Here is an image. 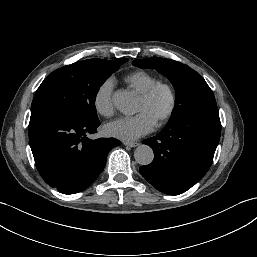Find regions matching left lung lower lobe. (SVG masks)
I'll return each instance as SVG.
<instances>
[{"instance_id":"0a47b994","label":"left lung lower lobe","mask_w":257,"mask_h":257,"mask_svg":"<svg viewBox=\"0 0 257 257\" xmlns=\"http://www.w3.org/2000/svg\"><path fill=\"white\" fill-rule=\"evenodd\" d=\"M220 131L217 105L168 123L157 136L142 141L153 149L154 159L140 167V173L163 193L187 191L210 168Z\"/></svg>"}]
</instances>
